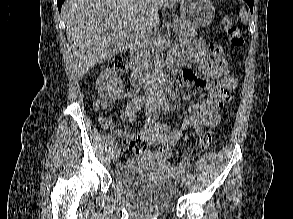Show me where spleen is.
<instances>
[{
    "mask_svg": "<svg viewBox=\"0 0 293 219\" xmlns=\"http://www.w3.org/2000/svg\"><path fill=\"white\" fill-rule=\"evenodd\" d=\"M240 18L243 24H246L248 22V14L245 8H242L240 10Z\"/></svg>",
    "mask_w": 293,
    "mask_h": 219,
    "instance_id": "spleen-1",
    "label": "spleen"
}]
</instances>
